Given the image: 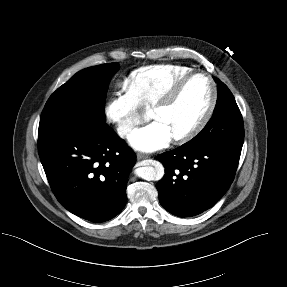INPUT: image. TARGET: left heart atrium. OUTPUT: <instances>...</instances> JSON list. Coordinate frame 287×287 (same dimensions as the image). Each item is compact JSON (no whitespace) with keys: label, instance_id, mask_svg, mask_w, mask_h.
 I'll return each instance as SVG.
<instances>
[{"label":"left heart atrium","instance_id":"1","mask_svg":"<svg viewBox=\"0 0 287 287\" xmlns=\"http://www.w3.org/2000/svg\"><path fill=\"white\" fill-rule=\"evenodd\" d=\"M172 138L169 129L160 121L154 120L146 126L135 130L130 138V144L141 151H155L168 145Z\"/></svg>","mask_w":287,"mask_h":287}]
</instances>
